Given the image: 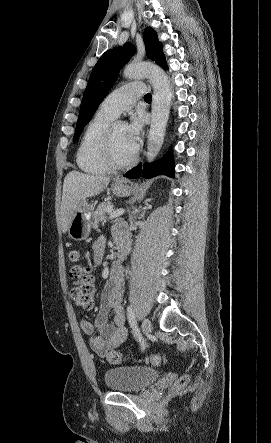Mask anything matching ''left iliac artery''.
Instances as JSON below:
<instances>
[{
  "mask_svg": "<svg viewBox=\"0 0 271 443\" xmlns=\"http://www.w3.org/2000/svg\"><path fill=\"white\" fill-rule=\"evenodd\" d=\"M127 318H128L129 324L135 334V337L137 338L138 342L140 343L141 350L143 351L146 347V341L142 337L140 330L137 326L136 316H135L134 310L131 305H129L127 307Z\"/></svg>",
  "mask_w": 271,
  "mask_h": 443,
  "instance_id": "44dca946",
  "label": "left iliac artery"
}]
</instances>
